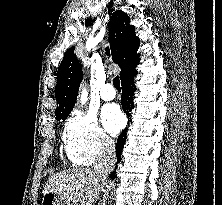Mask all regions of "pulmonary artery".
I'll use <instances>...</instances> for the list:
<instances>
[{
    "label": "pulmonary artery",
    "instance_id": "pulmonary-artery-1",
    "mask_svg": "<svg viewBox=\"0 0 222 205\" xmlns=\"http://www.w3.org/2000/svg\"><path fill=\"white\" fill-rule=\"evenodd\" d=\"M100 96L103 100L110 101L116 97V91L112 84L106 83L100 90Z\"/></svg>",
    "mask_w": 222,
    "mask_h": 205
}]
</instances>
